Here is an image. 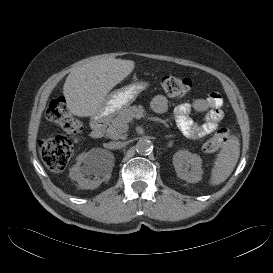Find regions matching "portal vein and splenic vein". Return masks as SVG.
I'll use <instances>...</instances> for the list:
<instances>
[{
  "label": "portal vein and splenic vein",
  "mask_w": 273,
  "mask_h": 273,
  "mask_svg": "<svg viewBox=\"0 0 273 273\" xmlns=\"http://www.w3.org/2000/svg\"><path fill=\"white\" fill-rule=\"evenodd\" d=\"M127 129H128V127H126V128L124 129V131H127Z\"/></svg>",
  "instance_id": "1"
}]
</instances>
